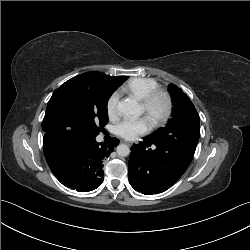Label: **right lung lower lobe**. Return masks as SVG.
Masks as SVG:
<instances>
[{
  "mask_svg": "<svg viewBox=\"0 0 250 250\" xmlns=\"http://www.w3.org/2000/svg\"><path fill=\"white\" fill-rule=\"evenodd\" d=\"M118 144L117 138L102 144L95 137L69 136L43 140V150L51 171L63 185L88 192L102 184L103 161Z\"/></svg>",
  "mask_w": 250,
  "mask_h": 250,
  "instance_id": "right-lung-lower-lobe-1",
  "label": "right lung lower lobe"
}]
</instances>
